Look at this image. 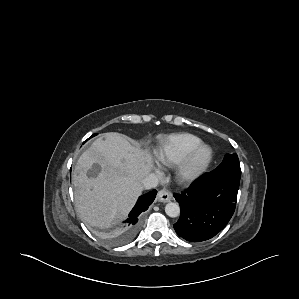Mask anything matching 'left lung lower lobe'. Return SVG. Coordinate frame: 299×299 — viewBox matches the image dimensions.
Listing matches in <instances>:
<instances>
[{"label":"left lung lower lobe","mask_w":299,"mask_h":299,"mask_svg":"<svg viewBox=\"0 0 299 299\" xmlns=\"http://www.w3.org/2000/svg\"><path fill=\"white\" fill-rule=\"evenodd\" d=\"M240 180L206 173L181 194H174L181 215L174 225L176 233L190 242L214 237L231 219Z\"/></svg>","instance_id":"0a47b994"}]
</instances>
